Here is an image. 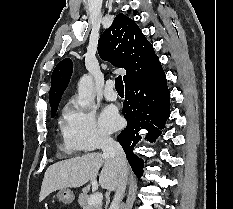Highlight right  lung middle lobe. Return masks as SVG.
Returning a JSON list of instances; mask_svg holds the SVG:
<instances>
[{"label":"right lung middle lobe","mask_w":233,"mask_h":209,"mask_svg":"<svg viewBox=\"0 0 233 209\" xmlns=\"http://www.w3.org/2000/svg\"><path fill=\"white\" fill-rule=\"evenodd\" d=\"M56 111H57V109L52 111V117L56 114Z\"/></svg>","instance_id":"1"}]
</instances>
